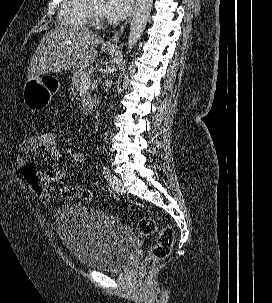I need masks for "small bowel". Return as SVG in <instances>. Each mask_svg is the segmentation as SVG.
Returning <instances> with one entry per match:
<instances>
[{
    "label": "small bowel",
    "mask_w": 272,
    "mask_h": 303,
    "mask_svg": "<svg viewBox=\"0 0 272 303\" xmlns=\"http://www.w3.org/2000/svg\"><path fill=\"white\" fill-rule=\"evenodd\" d=\"M37 149H42L53 161H58L60 160L62 154L59 148H54V149H47L44 148L40 142L38 137L35 136H30L23 140L19 146H18V156H17V163L20 166H24L25 164V159H24V154L32 152ZM42 176L44 177L46 185H50L53 183H57L61 180L64 179L66 172L64 168L61 167H53L50 168L44 172H40Z\"/></svg>",
    "instance_id": "obj_1"
}]
</instances>
